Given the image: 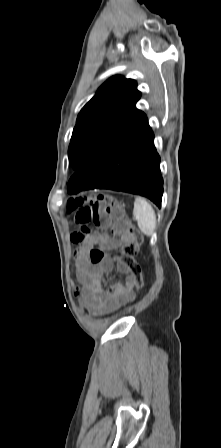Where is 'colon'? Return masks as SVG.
Returning a JSON list of instances; mask_svg holds the SVG:
<instances>
[{
    "label": "colon",
    "instance_id": "5ec220e1",
    "mask_svg": "<svg viewBox=\"0 0 221 448\" xmlns=\"http://www.w3.org/2000/svg\"><path fill=\"white\" fill-rule=\"evenodd\" d=\"M68 212L74 213L76 224L80 226L81 238H86L90 225H117L123 221L127 227L130 240L125 242L116 256V261L122 264L131 274L134 286L143 288L141 267L135 260L139 246L142 242L141 233L134 227L132 222L124 218L119 211L117 201L110 195L98 193L89 198H72L67 203ZM105 258V252L101 247L94 246L86 254V259L91 264H98ZM78 289L75 290L77 292Z\"/></svg>",
    "mask_w": 221,
    "mask_h": 448
}]
</instances>
